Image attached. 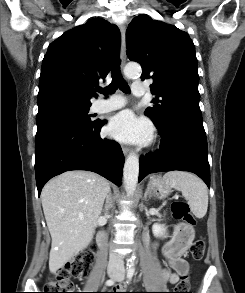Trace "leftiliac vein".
Wrapping results in <instances>:
<instances>
[{"mask_svg":"<svg viewBox=\"0 0 245 293\" xmlns=\"http://www.w3.org/2000/svg\"><path fill=\"white\" fill-rule=\"evenodd\" d=\"M124 275H125V273H124V271H123V272H121L120 274H118V276L116 277V279H117L118 281H122V280L124 279Z\"/></svg>","mask_w":245,"mask_h":293,"instance_id":"4c4485c4","label":"left iliac vein"}]
</instances>
